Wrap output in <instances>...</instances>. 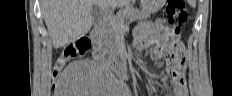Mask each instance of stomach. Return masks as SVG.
<instances>
[{
	"instance_id": "0dacf381",
	"label": "stomach",
	"mask_w": 232,
	"mask_h": 96,
	"mask_svg": "<svg viewBox=\"0 0 232 96\" xmlns=\"http://www.w3.org/2000/svg\"><path fill=\"white\" fill-rule=\"evenodd\" d=\"M165 2L166 0H142V6L144 11L155 13L165 4Z\"/></svg>"
}]
</instances>
